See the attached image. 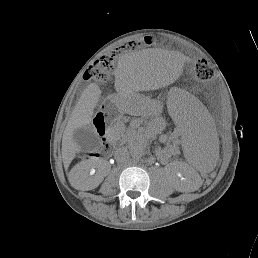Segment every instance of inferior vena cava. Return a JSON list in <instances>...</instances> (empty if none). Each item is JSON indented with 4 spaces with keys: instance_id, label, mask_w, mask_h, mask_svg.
Listing matches in <instances>:
<instances>
[{
    "instance_id": "602c4592",
    "label": "inferior vena cava",
    "mask_w": 258,
    "mask_h": 258,
    "mask_svg": "<svg viewBox=\"0 0 258 258\" xmlns=\"http://www.w3.org/2000/svg\"><path fill=\"white\" fill-rule=\"evenodd\" d=\"M128 157H129V153L125 149L120 148L115 152V159L119 163H125Z\"/></svg>"
}]
</instances>
